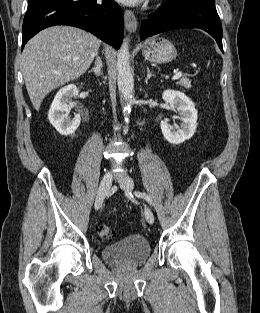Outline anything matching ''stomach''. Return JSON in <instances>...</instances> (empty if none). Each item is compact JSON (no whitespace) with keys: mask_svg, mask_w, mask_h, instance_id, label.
<instances>
[{"mask_svg":"<svg viewBox=\"0 0 260 313\" xmlns=\"http://www.w3.org/2000/svg\"><path fill=\"white\" fill-rule=\"evenodd\" d=\"M142 54L150 62L168 63L177 56L173 43L162 37H152L142 45Z\"/></svg>","mask_w":260,"mask_h":313,"instance_id":"0dacf381","label":"stomach"}]
</instances>
